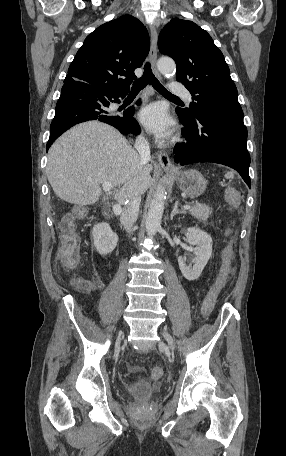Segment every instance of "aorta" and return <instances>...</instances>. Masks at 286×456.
I'll use <instances>...</instances> for the list:
<instances>
[{
	"mask_svg": "<svg viewBox=\"0 0 286 456\" xmlns=\"http://www.w3.org/2000/svg\"><path fill=\"white\" fill-rule=\"evenodd\" d=\"M157 67L165 77L172 78L175 76L176 64L173 59L166 57L160 58L157 62ZM165 198V188L158 186L154 198L151 201L145 221L146 232L149 237H153L160 228Z\"/></svg>",
	"mask_w": 286,
	"mask_h": 456,
	"instance_id": "762f6f07",
	"label": "aorta"
}]
</instances>
